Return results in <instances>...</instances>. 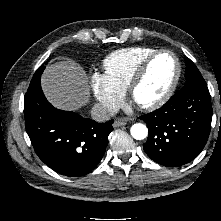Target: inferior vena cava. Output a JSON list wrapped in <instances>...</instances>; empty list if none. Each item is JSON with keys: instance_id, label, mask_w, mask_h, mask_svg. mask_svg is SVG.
<instances>
[{"instance_id": "1", "label": "inferior vena cava", "mask_w": 221, "mask_h": 221, "mask_svg": "<svg viewBox=\"0 0 221 221\" xmlns=\"http://www.w3.org/2000/svg\"><path fill=\"white\" fill-rule=\"evenodd\" d=\"M114 114L115 112L112 108L101 103L95 104L91 110L92 119L97 122L108 121Z\"/></svg>"}]
</instances>
